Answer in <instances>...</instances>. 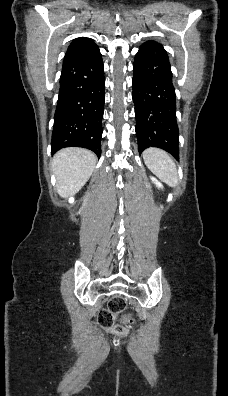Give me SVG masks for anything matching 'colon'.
<instances>
[{
	"label": "colon",
	"mask_w": 228,
	"mask_h": 396,
	"mask_svg": "<svg viewBox=\"0 0 228 396\" xmlns=\"http://www.w3.org/2000/svg\"><path fill=\"white\" fill-rule=\"evenodd\" d=\"M126 303L120 296H113L106 310L100 312L98 321L101 327L117 335H125L129 332L133 324V318L125 314L121 317L120 322L116 323V315L124 311Z\"/></svg>",
	"instance_id": "1"
}]
</instances>
